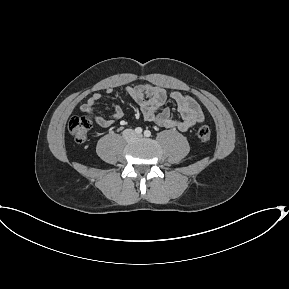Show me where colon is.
<instances>
[{
    "instance_id": "colon-1",
    "label": "colon",
    "mask_w": 289,
    "mask_h": 289,
    "mask_svg": "<svg viewBox=\"0 0 289 289\" xmlns=\"http://www.w3.org/2000/svg\"><path fill=\"white\" fill-rule=\"evenodd\" d=\"M92 127V117L88 114L74 116L69 120L68 130L77 142H84ZM197 136L202 142H207L211 138V130L208 125H201L197 130Z\"/></svg>"
}]
</instances>
